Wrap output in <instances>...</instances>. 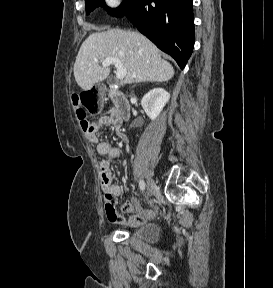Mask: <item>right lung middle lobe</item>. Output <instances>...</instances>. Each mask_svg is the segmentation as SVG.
<instances>
[{
	"label": "right lung middle lobe",
	"mask_w": 273,
	"mask_h": 288,
	"mask_svg": "<svg viewBox=\"0 0 273 288\" xmlns=\"http://www.w3.org/2000/svg\"><path fill=\"white\" fill-rule=\"evenodd\" d=\"M135 1L136 0H124L118 8L112 9L105 4L104 0H85L86 13L89 14L97 6H102L111 16L123 17L131 10Z\"/></svg>",
	"instance_id": "dd1d6c3e"
}]
</instances>
